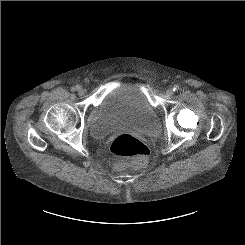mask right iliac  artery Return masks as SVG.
I'll list each match as a JSON object with an SVG mask.
<instances>
[{
  "label": "right iliac artery",
  "mask_w": 245,
  "mask_h": 245,
  "mask_svg": "<svg viewBox=\"0 0 245 245\" xmlns=\"http://www.w3.org/2000/svg\"><path fill=\"white\" fill-rule=\"evenodd\" d=\"M80 88V86H76V87H72V91H75V90H77V89H79Z\"/></svg>",
  "instance_id": "obj_1"
}]
</instances>
